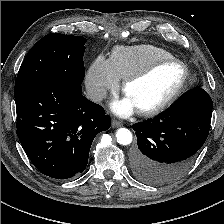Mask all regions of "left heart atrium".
Here are the masks:
<instances>
[{"label": "left heart atrium", "mask_w": 224, "mask_h": 224, "mask_svg": "<svg viewBox=\"0 0 224 224\" xmlns=\"http://www.w3.org/2000/svg\"><path fill=\"white\" fill-rule=\"evenodd\" d=\"M111 108L115 114L122 117L129 116L137 110L135 104L127 96L112 103Z\"/></svg>", "instance_id": "left-heart-atrium-1"}]
</instances>
